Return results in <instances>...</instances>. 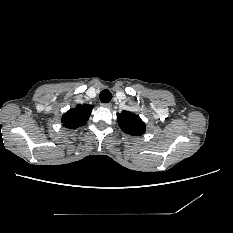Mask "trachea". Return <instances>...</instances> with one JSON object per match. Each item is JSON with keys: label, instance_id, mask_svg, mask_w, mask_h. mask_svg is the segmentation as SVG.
<instances>
[{"label": "trachea", "instance_id": "1", "mask_svg": "<svg viewBox=\"0 0 233 233\" xmlns=\"http://www.w3.org/2000/svg\"><path fill=\"white\" fill-rule=\"evenodd\" d=\"M99 98L102 103H108L112 99V94L108 89H104L101 91Z\"/></svg>", "mask_w": 233, "mask_h": 233}]
</instances>
